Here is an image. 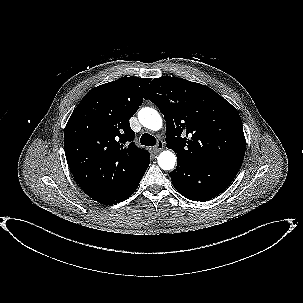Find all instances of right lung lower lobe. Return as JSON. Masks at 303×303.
<instances>
[{
  "mask_svg": "<svg viewBox=\"0 0 303 303\" xmlns=\"http://www.w3.org/2000/svg\"><path fill=\"white\" fill-rule=\"evenodd\" d=\"M147 167L144 168L141 171V173H139V175L129 185H127L126 187H124L122 190L115 193L114 195L109 196V197L99 201V203L104 204V205H112V204L122 202L125 199H127L128 197H130L137 189L139 182L142 179Z\"/></svg>",
  "mask_w": 303,
  "mask_h": 303,
  "instance_id": "1",
  "label": "right lung lower lobe"
}]
</instances>
